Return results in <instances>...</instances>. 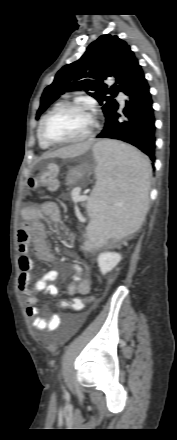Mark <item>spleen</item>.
Masks as SVG:
<instances>
[{
    "label": "spleen",
    "mask_w": 177,
    "mask_h": 440,
    "mask_svg": "<svg viewBox=\"0 0 177 440\" xmlns=\"http://www.w3.org/2000/svg\"><path fill=\"white\" fill-rule=\"evenodd\" d=\"M94 156L97 182L86 206L91 223L84 250L99 248L110 238L120 239L140 228L151 176L146 156L124 143L100 141Z\"/></svg>",
    "instance_id": "spleen-1"
}]
</instances>
